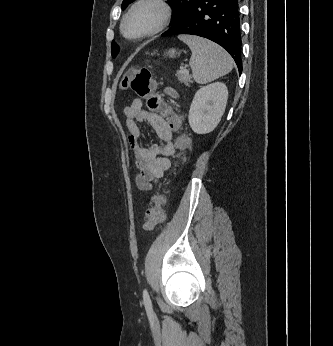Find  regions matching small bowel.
<instances>
[{
	"label": "small bowel",
	"instance_id": "1",
	"mask_svg": "<svg viewBox=\"0 0 333 346\" xmlns=\"http://www.w3.org/2000/svg\"><path fill=\"white\" fill-rule=\"evenodd\" d=\"M168 94L174 96L175 92L168 89ZM126 126L129 133V142L134 151L138 173L136 185L140 190L147 191L159 181L171 167L170 157L175 154L173 130L171 122L163 115L143 107L141 100L135 99L124 110ZM139 123L148 124L162 141L161 144L142 145L139 141L143 132Z\"/></svg>",
	"mask_w": 333,
	"mask_h": 346
}]
</instances>
